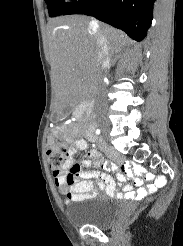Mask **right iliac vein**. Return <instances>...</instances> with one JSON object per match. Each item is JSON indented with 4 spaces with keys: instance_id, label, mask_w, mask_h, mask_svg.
I'll return each mask as SVG.
<instances>
[{
    "instance_id": "63e3f726",
    "label": "right iliac vein",
    "mask_w": 183,
    "mask_h": 246,
    "mask_svg": "<svg viewBox=\"0 0 183 246\" xmlns=\"http://www.w3.org/2000/svg\"><path fill=\"white\" fill-rule=\"evenodd\" d=\"M99 126H100L103 134L107 136L109 134V131H110V127H109L108 122H100Z\"/></svg>"
}]
</instances>
